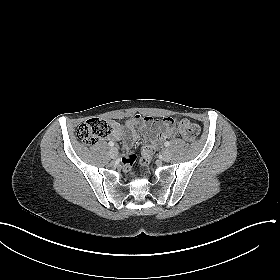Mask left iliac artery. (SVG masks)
I'll use <instances>...</instances> for the list:
<instances>
[{
	"label": "left iliac artery",
	"instance_id": "44dca946",
	"mask_svg": "<svg viewBox=\"0 0 280 280\" xmlns=\"http://www.w3.org/2000/svg\"><path fill=\"white\" fill-rule=\"evenodd\" d=\"M164 145H165L166 147H168V146H170V142H169V141H166V142L164 143Z\"/></svg>",
	"mask_w": 280,
	"mask_h": 280
}]
</instances>
